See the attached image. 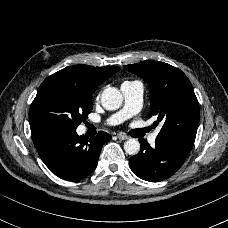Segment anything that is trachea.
I'll use <instances>...</instances> for the list:
<instances>
[{
    "instance_id": "trachea-1",
    "label": "trachea",
    "mask_w": 228,
    "mask_h": 228,
    "mask_svg": "<svg viewBox=\"0 0 228 228\" xmlns=\"http://www.w3.org/2000/svg\"><path fill=\"white\" fill-rule=\"evenodd\" d=\"M150 130H151V127H146V128H144V129H142L143 133H147V132L150 131Z\"/></svg>"
}]
</instances>
